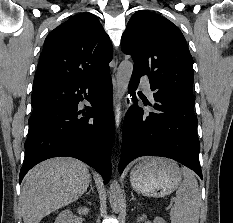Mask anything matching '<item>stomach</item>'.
<instances>
[{"mask_svg": "<svg viewBox=\"0 0 233 223\" xmlns=\"http://www.w3.org/2000/svg\"><path fill=\"white\" fill-rule=\"evenodd\" d=\"M130 181L137 193L147 197H165L180 185L182 171L172 159L144 157L132 167Z\"/></svg>", "mask_w": 233, "mask_h": 223, "instance_id": "stomach-1", "label": "stomach"}]
</instances>
